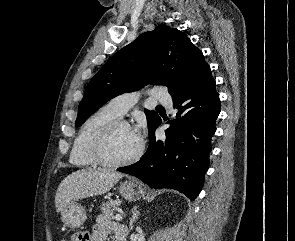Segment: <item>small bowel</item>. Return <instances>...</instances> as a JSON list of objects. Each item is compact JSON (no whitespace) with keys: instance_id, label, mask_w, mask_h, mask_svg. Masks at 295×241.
<instances>
[{"instance_id":"c3829d8e","label":"small bowel","mask_w":295,"mask_h":241,"mask_svg":"<svg viewBox=\"0 0 295 241\" xmlns=\"http://www.w3.org/2000/svg\"><path fill=\"white\" fill-rule=\"evenodd\" d=\"M127 230L124 226L110 220L105 215H99L91 232H84L86 241H106L113 235V241H126Z\"/></svg>"}]
</instances>
